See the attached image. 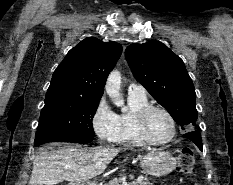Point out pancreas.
Here are the masks:
<instances>
[{
    "label": "pancreas",
    "instance_id": "pancreas-1",
    "mask_svg": "<svg viewBox=\"0 0 233 185\" xmlns=\"http://www.w3.org/2000/svg\"><path fill=\"white\" fill-rule=\"evenodd\" d=\"M105 185H123L121 179H113L106 183ZM130 185H152L150 180L146 176H140L136 181L132 182Z\"/></svg>",
    "mask_w": 233,
    "mask_h": 185
}]
</instances>
